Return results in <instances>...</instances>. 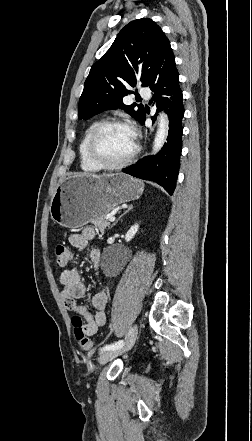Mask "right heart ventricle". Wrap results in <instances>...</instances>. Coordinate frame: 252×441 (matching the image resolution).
Segmentation results:
<instances>
[{"instance_id":"1","label":"right heart ventricle","mask_w":252,"mask_h":441,"mask_svg":"<svg viewBox=\"0 0 252 441\" xmlns=\"http://www.w3.org/2000/svg\"><path fill=\"white\" fill-rule=\"evenodd\" d=\"M97 121L91 123L87 129L84 132V135L80 141L78 153H79V160H80V167L83 171L86 172H98L102 168H100L98 165H96L94 162L91 161V159L88 156L87 153V144L90 137V134L94 127L97 125Z\"/></svg>"}]
</instances>
